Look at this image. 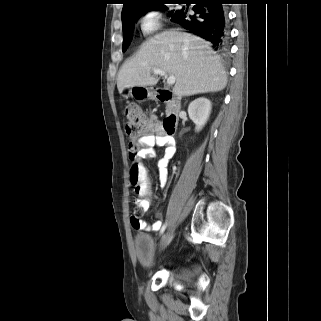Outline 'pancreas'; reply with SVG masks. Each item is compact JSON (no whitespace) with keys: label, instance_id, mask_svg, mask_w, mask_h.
<instances>
[{"label":"pancreas","instance_id":"1","mask_svg":"<svg viewBox=\"0 0 321 321\" xmlns=\"http://www.w3.org/2000/svg\"><path fill=\"white\" fill-rule=\"evenodd\" d=\"M170 111H171V108L169 107V105H167V107H166V114H169Z\"/></svg>","mask_w":321,"mask_h":321}]
</instances>
